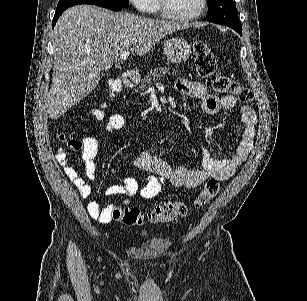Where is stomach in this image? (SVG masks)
Returning <instances> with one entry per match:
<instances>
[{
	"instance_id": "stomach-1",
	"label": "stomach",
	"mask_w": 307,
	"mask_h": 301,
	"mask_svg": "<svg viewBox=\"0 0 307 301\" xmlns=\"http://www.w3.org/2000/svg\"><path fill=\"white\" fill-rule=\"evenodd\" d=\"M164 54L169 62H185L191 54V46L186 38L172 36L164 42Z\"/></svg>"
}]
</instances>
